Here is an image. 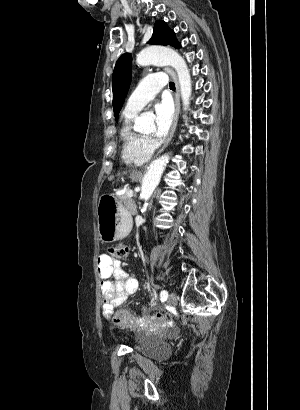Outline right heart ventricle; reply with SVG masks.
I'll use <instances>...</instances> for the list:
<instances>
[{
    "mask_svg": "<svg viewBox=\"0 0 300 410\" xmlns=\"http://www.w3.org/2000/svg\"><path fill=\"white\" fill-rule=\"evenodd\" d=\"M136 114L137 112L125 111L120 129L121 155L126 164H143L152 155V149L148 146L146 138L133 129L132 121Z\"/></svg>",
    "mask_w": 300,
    "mask_h": 410,
    "instance_id": "e07e8e85",
    "label": "right heart ventricle"
}]
</instances>
